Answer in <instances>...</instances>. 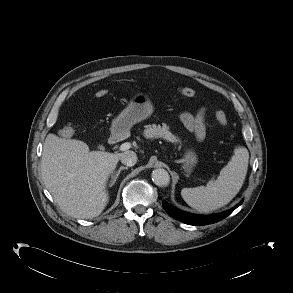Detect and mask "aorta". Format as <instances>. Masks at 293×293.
<instances>
[{"label":"aorta","instance_id":"762f6f07","mask_svg":"<svg viewBox=\"0 0 293 293\" xmlns=\"http://www.w3.org/2000/svg\"><path fill=\"white\" fill-rule=\"evenodd\" d=\"M152 180L159 187H165L170 182V176L165 169L158 168L152 172Z\"/></svg>","mask_w":293,"mask_h":293}]
</instances>
